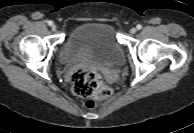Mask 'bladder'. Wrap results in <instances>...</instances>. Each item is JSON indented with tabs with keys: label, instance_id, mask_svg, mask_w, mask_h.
Wrapping results in <instances>:
<instances>
[{
	"label": "bladder",
	"instance_id": "31cf9c89",
	"mask_svg": "<svg viewBox=\"0 0 194 133\" xmlns=\"http://www.w3.org/2000/svg\"><path fill=\"white\" fill-rule=\"evenodd\" d=\"M59 58L64 63L116 65L123 60V50L110 24L88 21L69 34L61 47Z\"/></svg>",
	"mask_w": 194,
	"mask_h": 133
}]
</instances>
